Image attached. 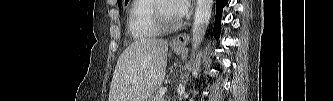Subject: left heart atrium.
Masks as SVG:
<instances>
[{
  "label": "left heart atrium",
  "instance_id": "left-heart-atrium-1",
  "mask_svg": "<svg viewBox=\"0 0 333 101\" xmlns=\"http://www.w3.org/2000/svg\"><path fill=\"white\" fill-rule=\"evenodd\" d=\"M190 5L188 0H174L170 4V9L177 17H182L186 14Z\"/></svg>",
  "mask_w": 333,
  "mask_h": 101
}]
</instances>
